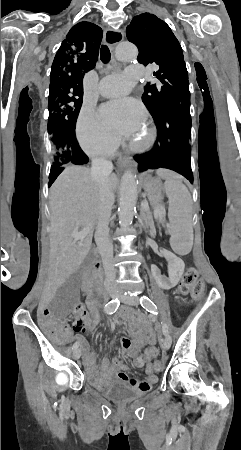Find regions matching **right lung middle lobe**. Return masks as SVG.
<instances>
[{
  "instance_id": "obj_1",
  "label": "right lung middle lobe",
  "mask_w": 241,
  "mask_h": 450,
  "mask_svg": "<svg viewBox=\"0 0 241 450\" xmlns=\"http://www.w3.org/2000/svg\"><path fill=\"white\" fill-rule=\"evenodd\" d=\"M83 89L69 85L50 88L48 133L50 135L51 171L70 164L69 146L63 132L75 131L76 120L82 105Z\"/></svg>"
}]
</instances>
